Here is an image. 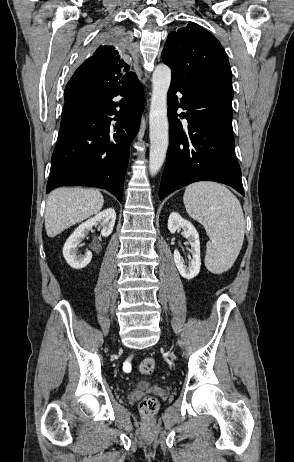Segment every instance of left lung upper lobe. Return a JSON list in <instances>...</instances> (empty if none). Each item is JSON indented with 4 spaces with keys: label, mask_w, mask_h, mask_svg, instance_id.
<instances>
[{
    "label": "left lung upper lobe",
    "mask_w": 294,
    "mask_h": 462,
    "mask_svg": "<svg viewBox=\"0 0 294 462\" xmlns=\"http://www.w3.org/2000/svg\"><path fill=\"white\" fill-rule=\"evenodd\" d=\"M162 60L172 70V81L184 86H231L232 73L220 42L204 28L189 22L168 36ZM232 87V86H231Z\"/></svg>",
    "instance_id": "1"
}]
</instances>
